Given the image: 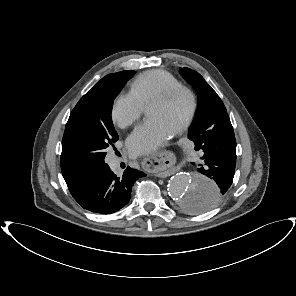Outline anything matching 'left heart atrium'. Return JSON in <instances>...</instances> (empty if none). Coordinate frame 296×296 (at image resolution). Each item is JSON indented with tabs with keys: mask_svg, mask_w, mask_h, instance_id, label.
I'll use <instances>...</instances> for the list:
<instances>
[{
	"mask_svg": "<svg viewBox=\"0 0 296 296\" xmlns=\"http://www.w3.org/2000/svg\"><path fill=\"white\" fill-rule=\"evenodd\" d=\"M174 130L158 118L150 117L127 138V147L135 156L148 155L167 143Z\"/></svg>",
	"mask_w": 296,
	"mask_h": 296,
	"instance_id": "obj_1",
	"label": "left heart atrium"
}]
</instances>
